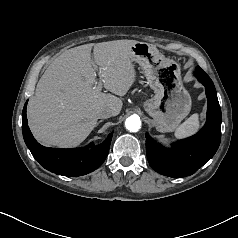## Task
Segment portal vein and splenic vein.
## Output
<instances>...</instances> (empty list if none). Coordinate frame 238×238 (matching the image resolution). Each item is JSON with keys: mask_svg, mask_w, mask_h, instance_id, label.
<instances>
[{"mask_svg": "<svg viewBox=\"0 0 238 238\" xmlns=\"http://www.w3.org/2000/svg\"><path fill=\"white\" fill-rule=\"evenodd\" d=\"M97 90H101L102 89V84L99 83L97 86H95Z\"/></svg>", "mask_w": 238, "mask_h": 238, "instance_id": "1", "label": "portal vein and splenic vein"}]
</instances>
